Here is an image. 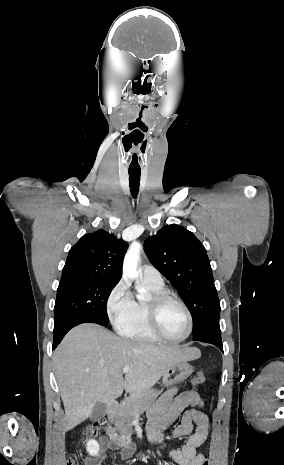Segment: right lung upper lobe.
Wrapping results in <instances>:
<instances>
[{
	"instance_id": "obj_1",
	"label": "right lung upper lobe",
	"mask_w": 284,
	"mask_h": 465,
	"mask_svg": "<svg viewBox=\"0 0 284 465\" xmlns=\"http://www.w3.org/2000/svg\"><path fill=\"white\" fill-rule=\"evenodd\" d=\"M128 244L99 230L84 235L69 251L62 277H82L118 283Z\"/></svg>"
}]
</instances>
